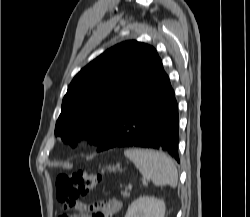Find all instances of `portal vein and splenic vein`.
<instances>
[{"label":"portal vein and splenic vein","instance_id":"18ae733b","mask_svg":"<svg viewBox=\"0 0 250 217\" xmlns=\"http://www.w3.org/2000/svg\"><path fill=\"white\" fill-rule=\"evenodd\" d=\"M143 184H146V182H145V181H143ZM127 187H128V188H131V185H128Z\"/></svg>","mask_w":250,"mask_h":217}]
</instances>
